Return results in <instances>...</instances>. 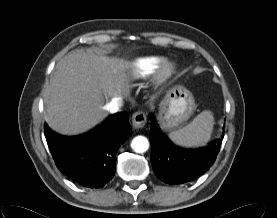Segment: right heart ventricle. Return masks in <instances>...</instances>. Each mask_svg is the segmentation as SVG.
I'll list each match as a JSON object with an SVG mask.
<instances>
[{
  "label": "right heart ventricle",
  "mask_w": 277,
  "mask_h": 218,
  "mask_svg": "<svg viewBox=\"0 0 277 218\" xmlns=\"http://www.w3.org/2000/svg\"><path fill=\"white\" fill-rule=\"evenodd\" d=\"M165 60L162 56L140 57L132 63V76L135 79H145L151 76Z\"/></svg>",
  "instance_id": "1"
}]
</instances>
